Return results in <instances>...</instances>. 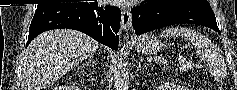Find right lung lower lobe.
Segmentation results:
<instances>
[{
  "instance_id": "obj_1",
  "label": "right lung lower lobe",
  "mask_w": 237,
  "mask_h": 90,
  "mask_svg": "<svg viewBox=\"0 0 237 90\" xmlns=\"http://www.w3.org/2000/svg\"><path fill=\"white\" fill-rule=\"evenodd\" d=\"M121 11L117 7H99L95 2L38 4L32 19L28 44L40 33L52 29H75L113 50L118 49Z\"/></svg>"
}]
</instances>
